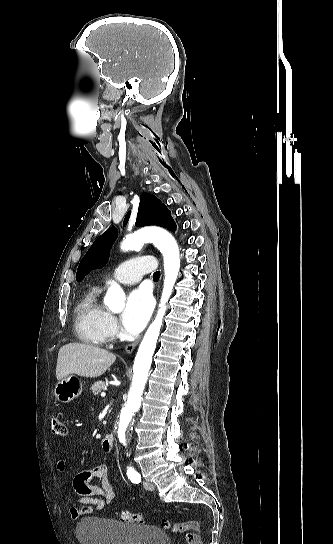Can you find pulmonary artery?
I'll return each instance as SVG.
<instances>
[{
    "label": "pulmonary artery",
    "instance_id": "1",
    "mask_svg": "<svg viewBox=\"0 0 333 544\" xmlns=\"http://www.w3.org/2000/svg\"><path fill=\"white\" fill-rule=\"evenodd\" d=\"M154 259L150 256H137L130 258L118 265L111 277L123 284H134L141 280L142 276L154 270Z\"/></svg>",
    "mask_w": 333,
    "mask_h": 544
}]
</instances>
